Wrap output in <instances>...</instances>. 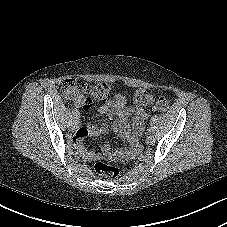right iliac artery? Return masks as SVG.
Here are the masks:
<instances>
[{"label": "right iliac artery", "instance_id": "1", "mask_svg": "<svg viewBox=\"0 0 227 227\" xmlns=\"http://www.w3.org/2000/svg\"><path fill=\"white\" fill-rule=\"evenodd\" d=\"M79 119H80V116L79 115H76L75 118L73 119V124L74 125H77L78 122H79Z\"/></svg>", "mask_w": 227, "mask_h": 227}]
</instances>
